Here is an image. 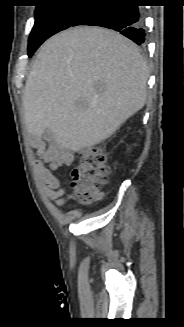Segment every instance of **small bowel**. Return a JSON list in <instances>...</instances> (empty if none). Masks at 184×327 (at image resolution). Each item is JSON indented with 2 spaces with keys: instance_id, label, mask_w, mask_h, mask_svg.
<instances>
[{
  "instance_id": "obj_1",
  "label": "small bowel",
  "mask_w": 184,
  "mask_h": 327,
  "mask_svg": "<svg viewBox=\"0 0 184 327\" xmlns=\"http://www.w3.org/2000/svg\"><path fill=\"white\" fill-rule=\"evenodd\" d=\"M37 144V142H33ZM39 159L34 160V166L37 174L42 181L47 185L46 195L52 199L59 207L65 203L64 189L61 184V179L55 176L52 170L60 166H69L74 161V155L70 151L60 150L54 145H50L47 149H39L37 151ZM49 167H46L45 164Z\"/></svg>"
}]
</instances>
